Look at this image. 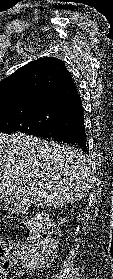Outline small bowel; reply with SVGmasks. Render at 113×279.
Here are the masks:
<instances>
[{
	"label": "small bowel",
	"instance_id": "obj_1",
	"mask_svg": "<svg viewBox=\"0 0 113 279\" xmlns=\"http://www.w3.org/2000/svg\"><path fill=\"white\" fill-rule=\"evenodd\" d=\"M0 279H5V275L3 273H1Z\"/></svg>",
	"mask_w": 113,
	"mask_h": 279
}]
</instances>
